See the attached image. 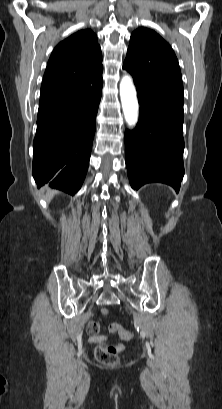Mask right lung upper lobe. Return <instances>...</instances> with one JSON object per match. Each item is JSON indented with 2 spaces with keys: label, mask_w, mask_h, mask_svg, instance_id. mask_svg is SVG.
I'll return each instance as SVG.
<instances>
[{
  "label": "right lung upper lobe",
  "mask_w": 222,
  "mask_h": 409,
  "mask_svg": "<svg viewBox=\"0 0 222 409\" xmlns=\"http://www.w3.org/2000/svg\"><path fill=\"white\" fill-rule=\"evenodd\" d=\"M102 71L97 36L90 29L80 30L53 50L44 74L40 102L82 92L89 78Z\"/></svg>",
  "instance_id": "right-lung-upper-lobe-1"
}]
</instances>
